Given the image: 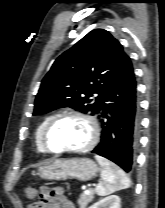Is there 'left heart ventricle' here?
Listing matches in <instances>:
<instances>
[{
  "label": "left heart ventricle",
  "mask_w": 165,
  "mask_h": 208,
  "mask_svg": "<svg viewBox=\"0 0 165 208\" xmlns=\"http://www.w3.org/2000/svg\"><path fill=\"white\" fill-rule=\"evenodd\" d=\"M91 131L86 121L79 118H65L56 123L48 134V144L54 149H73L84 146Z\"/></svg>",
  "instance_id": "left-heart-ventricle-1"
}]
</instances>
